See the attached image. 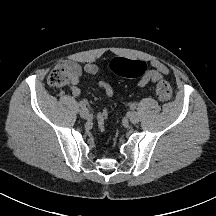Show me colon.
Masks as SVG:
<instances>
[{"label": "colon", "instance_id": "obj_1", "mask_svg": "<svg viewBox=\"0 0 216 216\" xmlns=\"http://www.w3.org/2000/svg\"><path fill=\"white\" fill-rule=\"evenodd\" d=\"M109 69L116 75L124 77H140L146 71V64L138 60L114 58L109 63ZM68 82V70L65 64L57 65L48 76V84L53 87H63ZM156 95L162 101H168L172 96V89L168 82L159 80L156 85ZM109 121V110L103 108L97 115L100 130H106Z\"/></svg>", "mask_w": 216, "mask_h": 216}]
</instances>
